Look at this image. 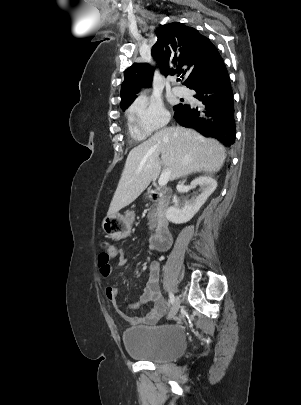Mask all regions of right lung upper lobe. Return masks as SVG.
I'll return each mask as SVG.
<instances>
[{
	"mask_svg": "<svg viewBox=\"0 0 301 405\" xmlns=\"http://www.w3.org/2000/svg\"><path fill=\"white\" fill-rule=\"evenodd\" d=\"M152 56L164 75L182 74L188 88L213 77L224 62L211 41L195 28L179 22L162 25L156 32ZM154 69L147 63H134L124 73L120 107L125 110L140 87H149Z\"/></svg>",
	"mask_w": 301,
	"mask_h": 405,
	"instance_id": "1",
	"label": "right lung upper lobe"
}]
</instances>
